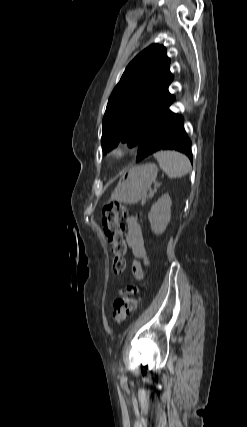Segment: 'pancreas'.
Segmentation results:
<instances>
[{"instance_id":"1","label":"pancreas","mask_w":247,"mask_h":427,"mask_svg":"<svg viewBox=\"0 0 247 427\" xmlns=\"http://www.w3.org/2000/svg\"><path fill=\"white\" fill-rule=\"evenodd\" d=\"M154 192H155V190L154 191H150V193L146 196V198L147 199L152 198Z\"/></svg>"}]
</instances>
